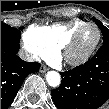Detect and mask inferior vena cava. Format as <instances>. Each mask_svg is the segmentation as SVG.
Returning a JSON list of instances; mask_svg holds the SVG:
<instances>
[{
  "label": "inferior vena cava",
  "instance_id": "inferior-vena-cava-1",
  "mask_svg": "<svg viewBox=\"0 0 109 109\" xmlns=\"http://www.w3.org/2000/svg\"><path fill=\"white\" fill-rule=\"evenodd\" d=\"M19 56L21 59H23L25 61H29V62L35 61L37 59L36 56H34L30 53H25L23 51H19Z\"/></svg>",
  "mask_w": 109,
  "mask_h": 109
}]
</instances>
